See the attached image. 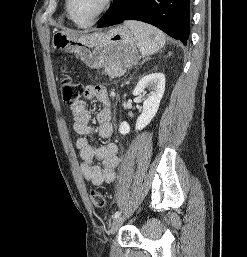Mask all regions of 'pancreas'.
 <instances>
[{
  "instance_id": "1",
  "label": "pancreas",
  "mask_w": 247,
  "mask_h": 257,
  "mask_svg": "<svg viewBox=\"0 0 247 257\" xmlns=\"http://www.w3.org/2000/svg\"><path fill=\"white\" fill-rule=\"evenodd\" d=\"M125 72L126 68L119 63H109L105 67V73L111 78L122 76Z\"/></svg>"
}]
</instances>
